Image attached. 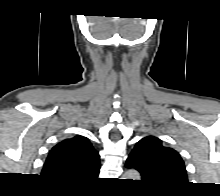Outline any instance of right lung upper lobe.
Segmentation results:
<instances>
[{"mask_svg":"<svg viewBox=\"0 0 220 196\" xmlns=\"http://www.w3.org/2000/svg\"><path fill=\"white\" fill-rule=\"evenodd\" d=\"M99 170L98 152L88 138L77 135L52 148L42 176L55 183L79 186L96 179Z\"/></svg>","mask_w":220,"mask_h":196,"instance_id":"obj_1","label":"right lung upper lobe"}]
</instances>
